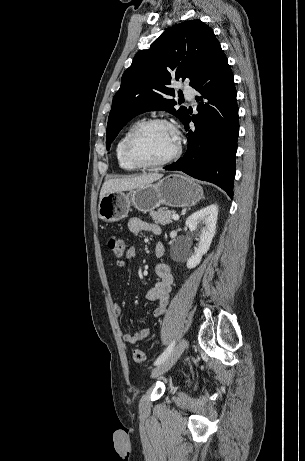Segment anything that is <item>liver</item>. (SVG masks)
Here are the masks:
<instances>
[{
    "label": "liver",
    "mask_w": 305,
    "mask_h": 461,
    "mask_svg": "<svg viewBox=\"0 0 305 461\" xmlns=\"http://www.w3.org/2000/svg\"><path fill=\"white\" fill-rule=\"evenodd\" d=\"M162 178L161 174L150 173L137 177L110 179L104 182L100 191V199L111 192L128 191L153 183Z\"/></svg>",
    "instance_id": "liver-1"
}]
</instances>
